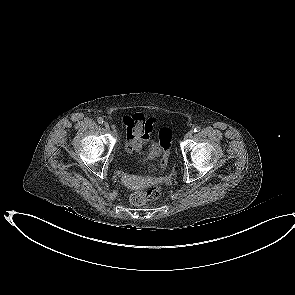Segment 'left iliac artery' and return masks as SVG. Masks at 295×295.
<instances>
[{"label": "left iliac artery", "instance_id": "44dca946", "mask_svg": "<svg viewBox=\"0 0 295 295\" xmlns=\"http://www.w3.org/2000/svg\"><path fill=\"white\" fill-rule=\"evenodd\" d=\"M200 130H201V127H199V126H196V127L193 129L194 132H199Z\"/></svg>", "mask_w": 295, "mask_h": 295}]
</instances>
